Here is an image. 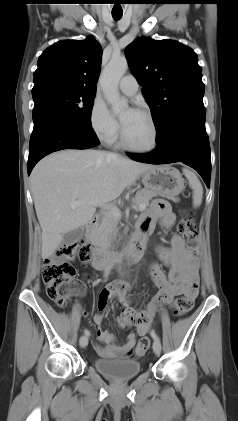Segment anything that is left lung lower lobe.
Segmentation results:
<instances>
[{
    "mask_svg": "<svg viewBox=\"0 0 238 421\" xmlns=\"http://www.w3.org/2000/svg\"><path fill=\"white\" fill-rule=\"evenodd\" d=\"M157 148L149 154L127 153L133 160L149 164L182 162L194 168L210 185V145L205 129V111L184 114L156 138Z\"/></svg>",
    "mask_w": 238,
    "mask_h": 421,
    "instance_id": "1",
    "label": "left lung lower lobe"
}]
</instances>
